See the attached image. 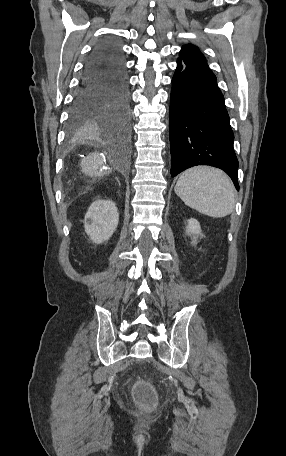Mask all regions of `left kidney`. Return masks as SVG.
I'll use <instances>...</instances> for the list:
<instances>
[{"label":"left kidney","instance_id":"5707ae66","mask_svg":"<svg viewBox=\"0 0 286 456\" xmlns=\"http://www.w3.org/2000/svg\"><path fill=\"white\" fill-rule=\"evenodd\" d=\"M186 233L188 235H193L192 244L197 243L196 239L198 235H201L200 223L196 219H189L187 222Z\"/></svg>","mask_w":286,"mask_h":456}]
</instances>
